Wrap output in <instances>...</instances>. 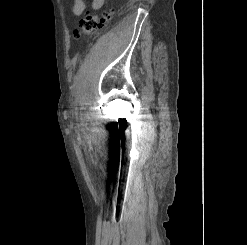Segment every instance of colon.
<instances>
[{
	"instance_id": "obj_1",
	"label": "colon",
	"mask_w": 247,
	"mask_h": 245,
	"mask_svg": "<svg viewBox=\"0 0 247 245\" xmlns=\"http://www.w3.org/2000/svg\"><path fill=\"white\" fill-rule=\"evenodd\" d=\"M112 17V8L106 7L99 13L86 14L79 22V28L74 31V37L80 39L83 35L97 32Z\"/></svg>"
}]
</instances>
